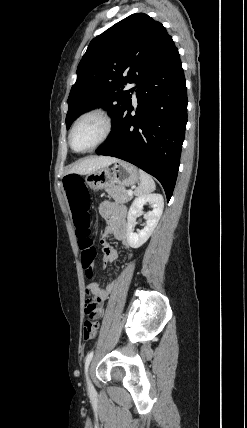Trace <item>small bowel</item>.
I'll use <instances>...</instances> for the list:
<instances>
[{"label": "small bowel", "instance_id": "small-bowel-1", "mask_svg": "<svg viewBox=\"0 0 247 428\" xmlns=\"http://www.w3.org/2000/svg\"><path fill=\"white\" fill-rule=\"evenodd\" d=\"M99 212L107 221L108 229L112 235L122 242L124 248L128 249V225L124 209L114 202L105 201L100 205ZM102 253L104 263L112 264L118 258L116 249L108 243L103 245ZM115 286L116 280L109 282L106 287H102L97 282H92L86 285V292L92 298H102L105 301Z\"/></svg>", "mask_w": 247, "mask_h": 428}]
</instances>
